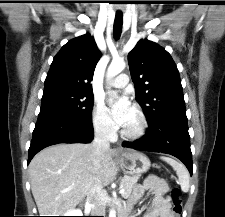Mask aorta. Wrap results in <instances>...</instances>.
Masks as SVG:
<instances>
[{"instance_id": "762f6f07", "label": "aorta", "mask_w": 225, "mask_h": 217, "mask_svg": "<svg viewBox=\"0 0 225 217\" xmlns=\"http://www.w3.org/2000/svg\"><path fill=\"white\" fill-rule=\"evenodd\" d=\"M125 66L126 64L123 60H120V59L112 60L106 73V80L111 81L116 75H118L120 72H122L125 69ZM110 93L112 94V92ZM113 95H115L114 92H113ZM109 217H116L114 210H111Z\"/></svg>"}]
</instances>
